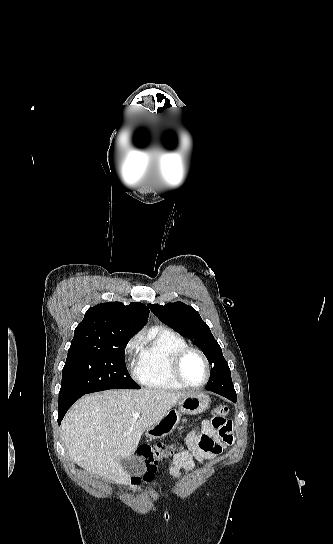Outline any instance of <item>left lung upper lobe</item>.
<instances>
[{"instance_id":"left-lung-upper-lobe-1","label":"left lung upper lobe","mask_w":333,"mask_h":544,"mask_svg":"<svg viewBox=\"0 0 333 544\" xmlns=\"http://www.w3.org/2000/svg\"><path fill=\"white\" fill-rule=\"evenodd\" d=\"M147 305L160 321L192 340L205 354L212 366L206 390L235 392L222 349L195 309L183 302Z\"/></svg>"}]
</instances>
